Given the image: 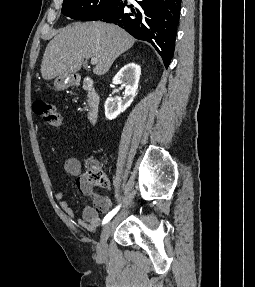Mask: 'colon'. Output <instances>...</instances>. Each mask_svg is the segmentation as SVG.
I'll return each mask as SVG.
<instances>
[{
	"label": "colon",
	"instance_id": "colon-1",
	"mask_svg": "<svg viewBox=\"0 0 255 287\" xmlns=\"http://www.w3.org/2000/svg\"><path fill=\"white\" fill-rule=\"evenodd\" d=\"M33 110L50 127L54 129H59L61 127V115L52 104L44 100H37L33 104ZM86 179L94 186L105 187L107 185L105 173L100 169L98 164L92 161L88 163Z\"/></svg>",
	"mask_w": 255,
	"mask_h": 287
}]
</instances>
